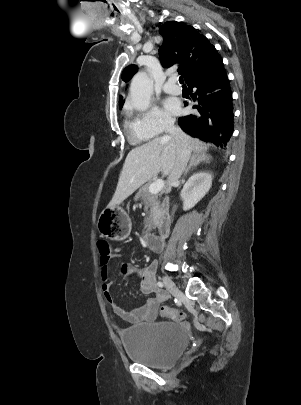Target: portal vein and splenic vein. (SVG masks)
I'll return each instance as SVG.
<instances>
[{
  "mask_svg": "<svg viewBox=\"0 0 301 405\" xmlns=\"http://www.w3.org/2000/svg\"><path fill=\"white\" fill-rule=\"evenodd\" d=\"M164 187V181L158 179L149 186V191L153 194L160 192Z\"/></svg>",
  "mask_w": 301,
  "mask_h": 405,
  "instance_id": "portal-vein-and-splenic-vein-1",
  "label": "portal vein and splenic vein"
}]
</instances>
